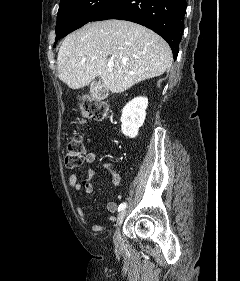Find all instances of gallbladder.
<instances>
[{
	"label": "gallbladder",
	"mask_w": 240,
	"mask_h": 281,
	"mask_svg": "<svg viewBox=\"0 0 240 281\" xmlns=\"http://www.w3.org/2000/svg\"><path fill=\"white\" fill-rule=\"evenodd\" d=\"M104 93H105V89L104 88L99 89L98 97L103 98ZM92 94H96V91L94 90V88H92Z\"/></svg>",
	"instance_id": "gallbladder-1"
}]
</instances>
